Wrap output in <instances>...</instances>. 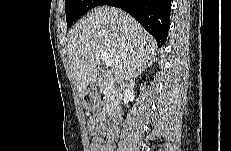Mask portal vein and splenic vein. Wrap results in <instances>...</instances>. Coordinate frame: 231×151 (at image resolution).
<instances>
[{
	"label": "portal vein and splenic vein",
	"instance_id": "18ae733b",
	"mask_svg": "<svg viewBox=\"0 0 231 151\" xmlns=\"http://www.w3.org/2000/svg\"><path fill=\"white\" fill-rule=\"evenodd\" d=\"M101 59L105 62L106 66H112L114 64L111 56L106 52H101Z\"/></svg>",
	"mask_w": 231,
	"mask_h": 151
}]
</instances>
